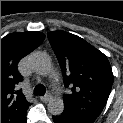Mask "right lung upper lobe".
Returning <instances> with one entry per match:
<instances>
[{"label":"right lung upper lobe","instance_id":"1","mask_svg":"<svg viewBox=\"0 0 123 123\" xmlns=\"http://www.w3.org/2000/svg\"><path fill=\"white\" fill-rule=\"evenodd\" d=\"M41 32H16L1 39V123H22L31 105L17 85L22 75L18 62L44 40Z\"/></svg>","mask_w":123,"mask_h":123}]
</instances>
